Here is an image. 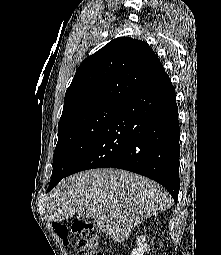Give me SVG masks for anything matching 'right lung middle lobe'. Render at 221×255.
Wrapping results in <instances>:
<instances>
[{"mask_svg": "<svg viewBox=\"0 0 221 255\" xmlns=\"http://www.w3.org/2000/svg\"><path fill=\"white\" fill-rule=\"evenodd\" d=\"M119 105L106 103L92 106L60 120L49 188L67 175L99 136Z\"/></svg>", "mask_w": 221, "mask_h": 255, "instance_id": "right-lung-middle-lobe-1", "label": "right lung middle lobe"}]
</instances>
